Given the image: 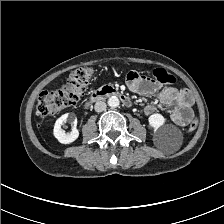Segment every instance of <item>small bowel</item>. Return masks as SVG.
Segmentation results:
<instances>
[{"instance_id":"1","label":"small bowel","mask_w":224,"mask_h":224,"mask_svg":"<svg viewBox=\"0 0 224 224\" xmlns=\"http://www.w3.org/2000/svg\"><path fill=\"white\" fill-rule=\"evenodd\" d=\"M127 85L135 93L157 98L155 103H150L144 107L145 114L156 112L160 106H172L167 113L176 125L185 126L190 122L192 118L190 106L194 101L191 91L161 87L151 79L134 71L128 73Z\"/></svg>"}]
</instances>
